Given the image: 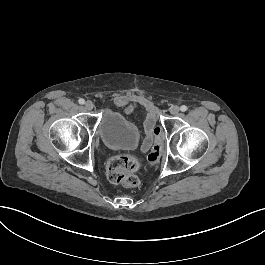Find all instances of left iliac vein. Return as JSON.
Listing matches in <instances>:
<instances>
[{
  "label": "left iliac vein",
  "mask_w": 265,
  "mask_h": 265,
  "mask_svg": "<svg viewBox=\"0 0 265 265\" xmlns=\"http://www.w3.org/2000/svg\"><path fill=\"white\" fill-rule=\"evenodd\" d=\"M179 107L178 106H172L171 109H170V113L172 115H177L179 113Z\"/></svg>",
  "instance_id": "left-iliac-vein-1"
}]
</instances>
